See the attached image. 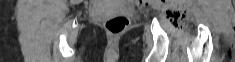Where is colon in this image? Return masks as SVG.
<instances>
[{"label":"colon","instance_id":"5ec220e1","mask_svg":"<svg viewBox=\"0 0 235 62\" xmlns=\"http://www.w3.org/2000/svg\"><path fill=\"white\" fill-rule=\"evenodd\" d=\"M129 18L126 15H117L106 20L105 28L112 35L123 33L129 26Z\"/></svg>","mask_w":235,"mask_h":62}]
</instances>
